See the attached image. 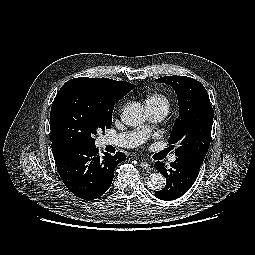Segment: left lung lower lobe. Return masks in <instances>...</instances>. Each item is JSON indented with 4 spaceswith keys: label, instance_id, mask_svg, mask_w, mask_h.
I'll return each mask as SVG.
<instances>
[{
    "label": "left lung lower lobe",
    "instance_id": "left-lung-lower-lobe-1",
    "mask_svg": "<svg viewBox=\"0 0 255 255\" xmlns=\"http://www.w3.org/2000/svg\"><path fill=\"white\" fill-rule=\"evenodd\" d=\"M202 163L196 160L177 157L170 168L164 163L156 162L155 168L165 176V187L155 192V196L161 200H174L184 195L193 185L199 173Z\"/></svg>",
    "mask_w": 255,
    "mask_h": 255
}]
</instances>
